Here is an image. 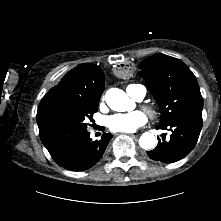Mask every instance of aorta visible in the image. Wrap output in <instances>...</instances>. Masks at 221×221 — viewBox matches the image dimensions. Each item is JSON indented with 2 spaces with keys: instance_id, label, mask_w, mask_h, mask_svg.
<instances>
[{
  "instance_id": "1",
  "label": "aorta",
  "mask_w": 221,
  "mask_h": 221,
  "mask_svg": "<svg viewBox=\"0 0 221 221\" xmlns=\"http://www.w3.org/2000/svg\"><path fill=\"white\" fill-rule=\"evenodd\" d=\"M106 103L114 111L124 112L133 108V102L121 89L111 88L106 92ZM156 139L152 133L145 132L139 139V145L145 150L155 147Z\"/></svg>"
}]
</instances>
